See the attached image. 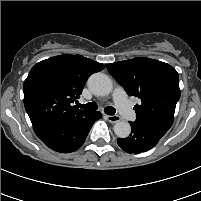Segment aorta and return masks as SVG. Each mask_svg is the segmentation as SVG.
<instances>
[{
	"mask_svg": "<svg viewBox=\"0 0 201 201\" xmlns=\"http://www.w3.org/2000/svg\"><path fill=\"white\" fill-rule=\"evenodd\" d=\"M88 87L97 96L109 95L113 89L112 80L103 73H94L88 79ZM114 132L119 138H127L131 133V126L126 121H118L114 125Z\"/></svg>",
	"mask_w": 201,
	"mask_h": 201,
	"instance_id": "762f6f07",
	"label": "aorta"
}]
</instances>
